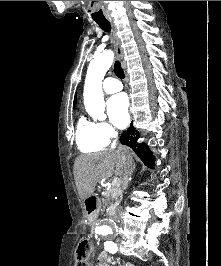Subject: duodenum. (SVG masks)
I'll return each instance as SVG.
<instances>
[{
    "mask_svg": "<svg viewBox=\"0 0 221 266\" xmlns=\"http://www.w3.org/2000/svg\"><path fill=\"white\" fill-rule=\"evenodd\" d=\"M98 192H95V194H88V197L85 200L86 209L88 212V217L92 220L95 218V210L100 209V201ZM115 211H107V216H113Z\"/></svg>",
    "mask_w": 221,
    "mask_h": 266,
    "instance_id": "410a0bca",
    "label": "duodenum"
}]
</instances>
